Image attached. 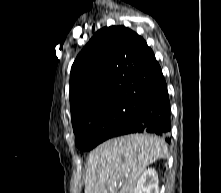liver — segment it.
<instances>
[{
    "label": "liver",
    "instance_id": "liver-1",
    "mask_svg": "<svg viewBox=\"0 0 221 193\" xmlns=\"http://www.w3.org/2000/svg\"><path fill=\"white\" fill-rule=\"evenodd\" d=\"M165 141L148 134H131L105 141L89 154L85 193H134L147 166L168 158Z\"/></svg>",
    "mask_w": 221,
    "mask_h": 193
}]
</instances>
